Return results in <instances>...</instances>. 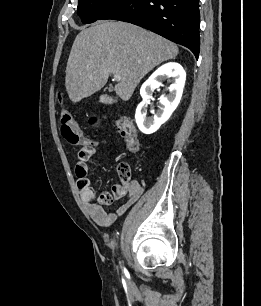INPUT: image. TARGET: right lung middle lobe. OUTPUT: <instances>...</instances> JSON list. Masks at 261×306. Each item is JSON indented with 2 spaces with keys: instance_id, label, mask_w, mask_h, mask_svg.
Returning a JSON list of instances; mask_svg holds the SVG:
<instances>
[{
  "instance_id": "1",
  "label": "right lung middle lobe",
  "mask_w": 261,
  "mask_h": 306,
  "mask_svg": "<svg viewBox=\"0 0 261 306\" xmlns=\"http://www.w3.org/2000/svg\"><path fill=\"white\" fill-rule=\"evenodd\" d=\"M119 0H79L77 13L84 24L95 22Z\"/></svg>"
}]
</instances>
